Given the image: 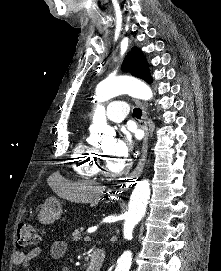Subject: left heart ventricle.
Masks as SVG:
<instances>
[{
	"instance_id": "b2bd125f",
	"label": "left heart ventricle",
	"mask_w": 221,
	"mask_h": 271,
	"mask_svg": "<svg viewBox=\"0 0 221 271\" xmlns=\"http://www.w3.org/2000/svg\"><path fill=\"white\" fill-rule=\"evenodd\" d=\"M105 165H108V168H111L113 175H120V168H123L122 160H105Z\"/></svg>"
}]
</instances>
